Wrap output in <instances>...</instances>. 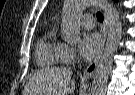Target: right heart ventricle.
<instances>
[{
  "instance_id": "e07e8e85",
  "label": "right heart ventricle",
  "mask_w": 135,
  "mask_h": 95,
  "mask_svg": "<svg viewBox=\"0 0 135 95\" xmlns=\"http://www.w3.org/2000/svg\"><path fill=\"white\" fill-rule=\"evenodd\" d=\"M63 43L56 36L53 26L49 27L36 45V59L45 67L58 66L62 61Z\"/></svg>"
}]
</instances>
